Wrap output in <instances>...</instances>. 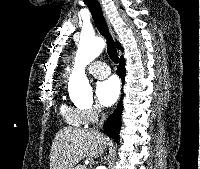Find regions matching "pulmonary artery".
I'll use <instances>...</instances> for the list:
<instances>
[{
	"instance_id": "pulmonary-artery-1",
	"label": "pulmonary artery",
	"mask_w": 200,
	"mask_h": 169,
	"mask_svg": "<svg viewBox=\"0 0 200 169\" xmlns=\"http://www.w3.org/2000/svg\"><path fill=\"white\" fill-rule=\"evenodd\" d=\"M89 73L98 79L106 78L110 75V68L102 61H94L88 68Z\"/></svg>"
}]
</instances>
